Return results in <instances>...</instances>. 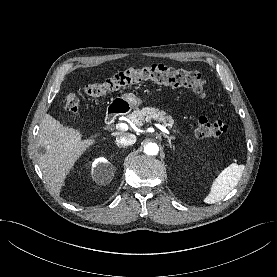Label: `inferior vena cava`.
Wrapping results in <instances>:
<instances>
[{
	"label": "inferior vena cava",
	"mask_w": 277,
	"mask_h": 277,
	"mask_svg": "<svg viewBox=\"0 0 277 277\" xmlns=\"http://www.w3.org/2000/svg\"><path fill=\"white\" fill-rule=\"evenodd\" d=\"M116 142L123 146H129L136 142V136L134 134H125L120 137H116Z\"/></svg>",
	"instance_id": "1"
}]
</instances>
